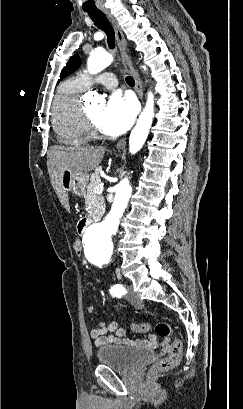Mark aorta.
Here are the masks:
<instances>
[{
  "instance_id": "obj_1",
  "label": "aorta",
  "mask_w": 243,
  "mask_h": 409,
  "mask_svg": "<svg viewBox=\"0 0 243 409\" xmlns=\"http://www.w3.org/2000/svg\"><path fill=\"white\" fill-rule=\"evenodd\" d=\"M112 60L113 58L109 53L103 50H96L88 58V72L90 74H97L108 67ZM88 97L92 104H97L101 101V97L97 92H90ZM153 98V94L149 92L146 106L130 134L129 152L131 154L137 153L148 137L154 118ZM131 192L132 188L129 180L127 178L123 179L116 187L115 198L106 218L102 222L93 223L86 228L83 235V243L87 256L91 254H98L104 258L111 256L113 252L112 236L118 229L120 218L127 207Z\"/></svg>"
}]
</instances>
